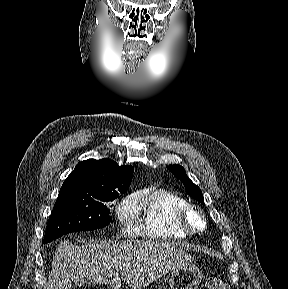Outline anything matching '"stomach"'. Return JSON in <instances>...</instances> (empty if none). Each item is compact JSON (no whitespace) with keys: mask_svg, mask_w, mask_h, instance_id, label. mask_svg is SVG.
<instances>
[{"mask_svg":"<svg viewBox=\"0 0 288 289\" xmlns=\"http://www.w3.org/2000/svg\"><path fill=\"white\" fill-rule=\"evenodd\" d=\"M202 279L200 269L193 264H185L172 271L169 285L171 289H197Z\"/></svg>","mask_w":288,"mask_h":289,"instance_id":"0dacf381","label":"stomach"}]
</instances>
